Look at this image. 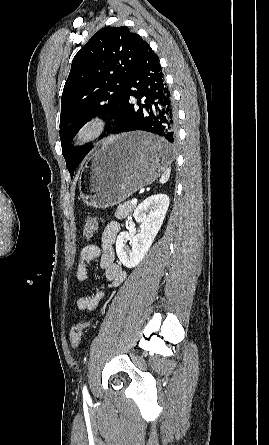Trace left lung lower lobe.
<instances>
[{"label": "left lung lower lobe", "instance_id": "0a47b994", "mask_svg": "<svg viewBox=\"0 0 269 445\" xmlns=\"http://www.w3.org/2000/svg\"><path fill=\"white\" fill-rule=\"evenodd\" d=\"M132 98L137 103L132 102ZM122 114L113 134L146 131L161 138L146 147L150 153L172 150L177 139V112L159 58L148 46L127 85Z\"/></svg>", "mask_w": 269, "mask_h": 445}]
</instances>
